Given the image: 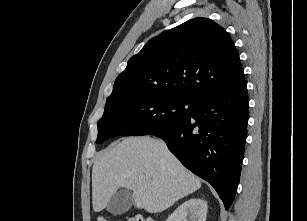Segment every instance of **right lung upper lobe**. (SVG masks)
Returning <instances> with one entry per match:
<instances>
[{
  "label": "right lung upper lobe",
  "mask_w": 307,
  "mask_h": 221,
  "mask_svg": "<svg viewBox=\"0 0 307 221\" xmlns=\"http://www.w3.org/2000/svg\"><path fill=\"white\" fill-rule=\"evenodd\" d=\"M245 86L230 35L214 21L200 17L149 40L116 78L106 104L148 93L196 102Z\"/></svg>",
  "instance_id": "right-lung-upper-lobe-1"
}]
</instances>
